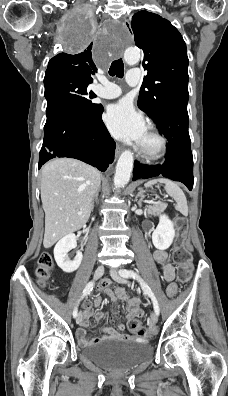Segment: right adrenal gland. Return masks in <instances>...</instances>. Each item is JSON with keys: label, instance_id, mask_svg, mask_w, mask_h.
I'll return each mask as SVG.
<instances>
[{"label": "right adrenal gland", "instance_id": "2a0ac1e0", "mask_svg": "<svg viewBox=\"0 0 228 396\" xmlns=\"http://www.w3.org/2000/svg\"><path fill=\"white\" fill-rule=\"evenodd\" d=\"M100 190H101V188H99V189L97 190V192L95 193V195H94V197H93V200H92V208H91V210L94 209L95 202H98V195H99Z\"/></svg>", "mask_w": 228, "mask_h": 396}]
</instances>
